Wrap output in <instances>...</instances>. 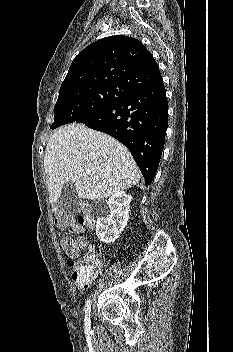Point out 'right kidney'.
Segmentation results:
<instances>
[{"label":"right kidney","instance_id":"right-kidney-1","mask_svg":"<svg viewBox=\"0 0 233 352\" xmlns=\"http://www.w3.org/2000/svg\"><path fill=\"white\" fill-rule=\"evenodd\" d=\"M131 196L124 191L113 194L107 204L109 210L97 219L96 235L104 243H112L124 230L129 218Z\"/></svg>","mask_w":233,"mask_h":352}]
</instances>
